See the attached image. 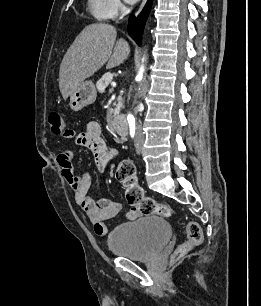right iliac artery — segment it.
Masks as SVG:
<instances>
[{"label": "right iliac artery", "mask_w": 261, "mask_h": 306, "mask_svg": "<svg viewBox=\"0 0 261 306\" xmlns=\"http://www.w3.org/2000/svg\"><path fill=\"white\" fill-rule=\"evenodd\" d=\"M134 133H135V132H134V129L131 130V133H130V134H131V137H132V138L134 137Z\"/></svg>", "instance_id": "right-iliac-artery-1"}]
</instances>
